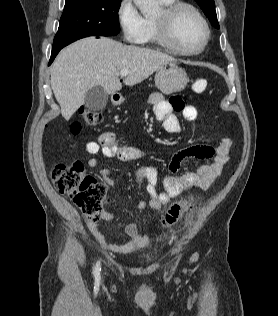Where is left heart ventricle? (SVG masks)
I'll list each match as a JSON object with an SVG mask.
<instances>
[{
    "label": "left heart ventricle",
    "instance_id": "1",
    "mask_svg": "<svg viewBox=\"0 0 278 316\" xmlns=\"http://www.w3.org/2000/svg\"><path fill=\"white\" fill-rule=\"evenodd\" d=\"M175 33L179 43L188 50L201 47L205 29L199 18L190 10H182L175 21Z\"/></svg>",
    "mask_w": 278,
    "mask_h": 316
}]
</instances>
